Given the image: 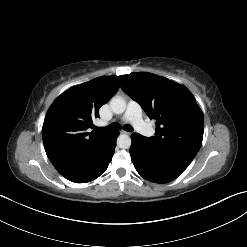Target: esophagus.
<instances>
[{
  "mask_svg": "<svg viewBox=\"0 0 247 247\" xmlns=\"http://www.w3.org/2000/svg\"><path fill=\"white\" fill-rule=\"evenodd\" d=\"M121 133H123V134H127V135H131V133H130V132H127V131H124V130H122V131H121Z\"/></svg>",
  "mask_w": 247,
  "mask_h": 247,
  "instance_id": "34e87169",
  "label": "esophagus"
}]
</instances>
